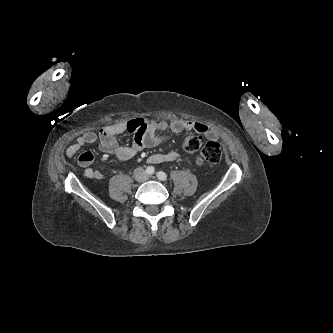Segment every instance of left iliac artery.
<instances>
[{
    "instance_id": "1",
    "label": "left iliac artery",
    "mask_w": 333,
    "mask_h": 333,
    "mask_svg": "<svg viewBox=\"0 0 333 333\" xmlns=\"http://www.w3.org/2000/svg\"><path fill=\"white\" fill-rule=\"evenodd\" d=\"M157 177H158V179L161 180V181H165V180L167 179V175H166L164 172H162V171H159V172L157 173Z\"/></svg>"
}]
</instances>
